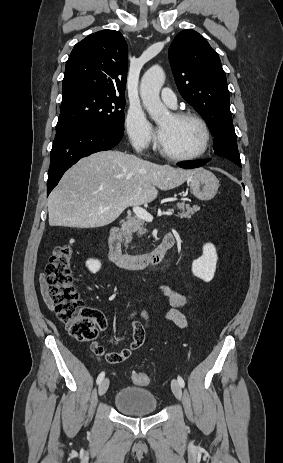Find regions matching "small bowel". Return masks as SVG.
Instances as JSON below:
<instances>
[{"label":"small bowel","mask_w":283,"mask_h":463,"mask_svg":"<svg viewBox=\"0 0 283 463\" xmlns=\"http://www.w3.org/2000/svg\"><path fill=\"white\" fill-rule=\"evenodd\" d=\"M41 291L44 297L46 304L51 307L50 298L47 293V284L42 277L40 282ZM159 291L162 295H164L170 302L171 309L167 311L166 318L173 322L179 328H185L187 326V321L185 316L181 312V308L188 306L190 304V300L187 295L175 291L170 288L168 285H160ZM141 316L147 320L148 313L145 310L141 311ZM131 327L133 330V338L130 345L126 348L121 349L120 351L114 352L119 356V361L116 363H120L126 361L134 352L135 350L139 349L145 342L147 336V325L142 324L138 321H133L131 323Z\"/></svg>","instance_id":"obj_1"}]
</instances>
